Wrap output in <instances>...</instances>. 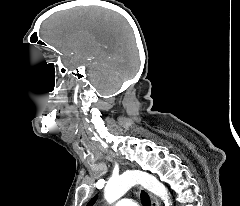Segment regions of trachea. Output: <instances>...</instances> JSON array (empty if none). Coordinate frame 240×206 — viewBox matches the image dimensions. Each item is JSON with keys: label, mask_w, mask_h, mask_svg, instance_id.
Returning <instances> with one entry per match:
<instances>
[{"label": "trachea", "mask_w": 240, "mask_h": 206, "mask_svg": "<svg viewBox=\"0 0 240 206\" xmlns=\"http://www.w3.org/2000/svg\"><path fill=\"white\" fill-rule=\"evenodd\" d=\"M141 199L145 206H151L149 197L144 191H142V193H141Z\"/></svg>", "instance_id": "3493384b"}]
</instances>
